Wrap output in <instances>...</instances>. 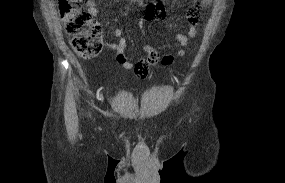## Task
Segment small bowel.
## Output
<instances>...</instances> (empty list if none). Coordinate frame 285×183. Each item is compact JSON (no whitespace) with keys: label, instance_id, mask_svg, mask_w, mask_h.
Listing matches in <instances>:
<instances>
[{"label":"small bowel","instance_id":"obj_1","mask_svg":"<svg viewBox=\"0 0 285 183\" xmlns=\"http://www.w3.org/2000/svg\"><path fill=\"white\" fill-rule=\"evenodd\" d=\"M210 3L211 0L199 1V4L201 6H208ZM84 5L91 15L93 16L98 15V9L95 5L94 0H86L84 2ZM164 18H165V11L159 3L150 6L145 15V20L147 22L160 21L163 20ZM198 25H199V10L198 6H194L187 13V32L179 33L175 37L177 44V50L175 56L183 57L185 55L189 39L194 38L196 36ZM113 33L115 36L119 37L118 42L106 44V46L114 51L116 62L124 69L130 70L133 67L135 69V67L138 64H144L147 68V74H148L149 68L155 67L159 63H161L162 65H168L172 63V61L174 60L175 57L174 55H167L164 56L163 58H160V55L155 48H153L150 45H144L143 50L145 52V55L134 65L133 62L130 61L126 55L127 40L122 35V31L119 28H115Z\"/></svg>","mask_w":285,"mask_h":183}]
</instances>
